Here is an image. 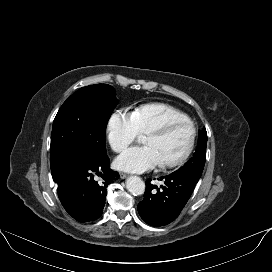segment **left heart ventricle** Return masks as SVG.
<instances>
[{"instance_id": "left-heart-ventricle-1", "label": "left heart ventricle", "mask_w": 272, "mask_h": 272, "mask_svg": "<svg viewBox=\"0 0 272 272\" xmlns=\"http://www.w3.org/2000/svg\"><path fill=\"white\" fill-rule=\"evenodd\" d=\"M190 136V128L180 126L164 136H145L144 143L156 150L162 163L170 162L184 153L189 144Z\"/></svg>"}]
</instances>
